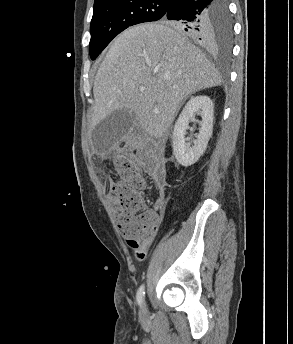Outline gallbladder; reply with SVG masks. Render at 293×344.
<instances>
[{
    "label": "gallbladder",
    "instance_id": "obj_1",
    "mask_svg": "<svg viewBox=\"0 0 293 344\" xmlns=\"http://www.w3.org/2000/svg\"><path fill=\"white\" fill-rule=\"evenodd\" d=\"M135 123L134 114L117 109L104 118L92 131V143L98 153H106L118 144Z\"/></svg>",
    "mask_w": 293,
    "mask_h": 344
}]
</instances>
